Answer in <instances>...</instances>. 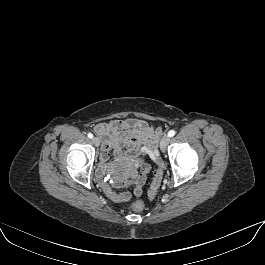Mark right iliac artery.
I'll use <instances>...</instances> for the list:
<instances>
[{"instance_id": "obj_1", "label": "right iliac artery", "mask_w": 265, "mask_h": 265, "mask_svg": "<svg viewBox=\"0 0 265 265\" xmlns=\"http://www.w3.org/2000/svg\"><path fill=\"white\" fill-rule=\"evenodd\" d=\"M87 136L91 139L93 138V134L92 133H88Z\"/></svg>"}]
</instances>
